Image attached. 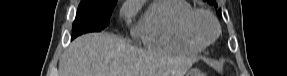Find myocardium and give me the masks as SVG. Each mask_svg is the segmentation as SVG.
<instances>
[{
  "label": "myocardium",
  "mask_w": 287,
  "mask_h": 76,
  "mask_svg": "<svg viewBox=\"0 0 287 76\" xmlns=\"http://www.w3.org/2000/svg\"><path fill=\"white\" fill-rule=\"evenodd\" d=\"M200 16L206 17L214 27L212 37L207 40L202 39L196 32V21ZM184 29L188 38L203 48L212 44L220 34V25L217 19L211 12L205 9H193L185 18Z\"/></svg>",
  "instance_id": "obj_1"
}]
</instances>
